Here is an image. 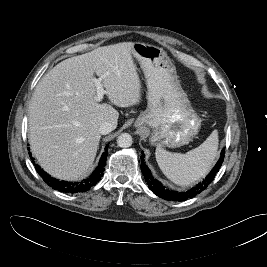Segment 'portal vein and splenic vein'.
<instances>
[{
	"instance_id": "1",
	"label": "portal vein and splenic vein",
	"mask_w": 267,
	"mask_h": 267,
	"mask_svg": "<svg viewBox=\"0 0 267 267\" xmlns=\"http://www.w3.org/2000/svg\"><path fill=\"white\" fill-rule=\"evenodd\" d=\"M94 83L97 90L96 101H101L103 99L104 94H106V91L104 90L101 84V78L94 79Z\"/></svg>"
}]
</instances>
